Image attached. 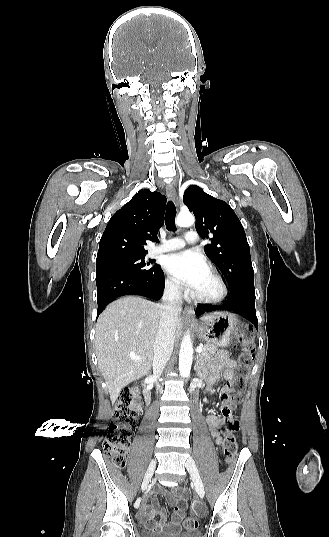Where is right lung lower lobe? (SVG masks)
Masks as SVG:
<instances>
[{"label":"right lung lower lobe","instance_id":"98d812e1","mask_svg":"<svg viewBox=\"0 0 329 537\" xmlns=\"http://www.w3.org/2000/svg\"><path fill=\"white\" fill-rule=\"evenodd\" d=\"M97 317L105 306L124 295H141L159 300L164 290V273L160 267L152 275H138L118 270L96 272Z\"/></svg>","mask_w":329,"mask_h":537}]
</instances>
